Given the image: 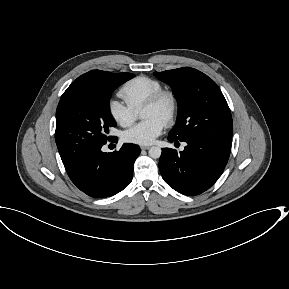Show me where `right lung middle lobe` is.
<instances>
[{
	"label": "right lung middle lobe",
	"mask_w": 289,
	"mask_h": 289,
	"mask_svg": "<svg viewBox=\"0 0 289 289\" xmlns=\"http://www.w3.org/2000/svg\"><path fill=\"white\" fill-rule=\"evenodd\" d=\"M131 73L111 76L86 91L62 95L56 110L55 141L63 163L112 139L116 127L109 109L111 92L133 78Z\"/></svg>",
	"instance_id": "1"
}]
</instances>
